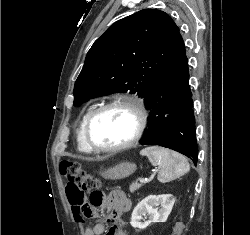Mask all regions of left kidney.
<instances>
[{"label":"left kidney","mask_w":250,"mask_h":235,"mask_svg":"<svg viewBox=\"0 0 250 235\" xmlns=\"http://www.w3.org/2000/svg\"><path fill=\"white\" fill-rule=\"evenodd\" d=\"M174 202L175 198L171 194L147 196L134 208L130 222L131 226L142 230L151 223L166 222ZM159 205L158 210L157 206ZM146 215L149 216V220L141 222L143 216Z\"/></svg>","instance_id":"1"}]
</instances>
